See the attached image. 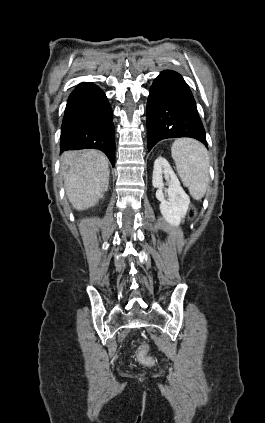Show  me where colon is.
Here are the masks:
<instances>
[{
    "instance_id": "5ec220e1",
    "label": "colon",
    "mask_w": 265,
    "mask_h": 423,
    "mask_svg": "<svg viewBox=\"0 0 265 423\" xmlns=\"http://www.w3.org/2000/svg\"><path fill=\"white\" fill-rule=\"evenodd\" d=\"M190 214H191L192 217H194L195 214H196L195 210L191 209ZM138 356L145 363H152V361H153L152 358L147 355L146 349H142L139 352Z\"/></svg>"
}]
</instances>
